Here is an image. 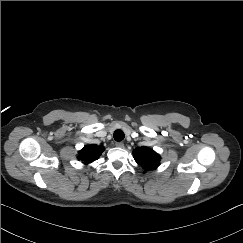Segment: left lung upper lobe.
<instances>
[{
    "mask_svg": "<svg viewBox=\"0 0 243 243\" xmlns=\"http://www.w3.org/2000/svg\"><path fill=\"white\" fill-rule=\"evenodd\" d=\"M135 161L143 167L145 171L154 170L160 165V155L153 149L142 146L133 150Z\"/></svg>",
    "mask_w": 243,
    "mask_h": 243,
    "instance_id": "left-lung-upper-lobe-1",
    "label": "left lung upper lobe"
}]
</instances>
